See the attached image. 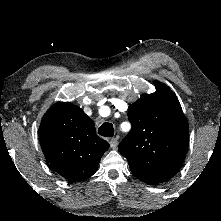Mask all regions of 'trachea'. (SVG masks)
Listing matches in <instances>:
<instances>
[{
  "label": "trachea",
  "mask_w": 221,
  "mask_h": 221,
  "mask_svg": "<svg viewBox=\"0 0 221 221\" xmlns=\"http://www.w3.org/2000/svg\"><path fill=\"white\" fill-rule=\"evenodd\" d=\"M98 133L104 137H113L114 127L111 123H104L99 127Z\"/></svg>",
  "instance_id": "1"
}]
</instances>
